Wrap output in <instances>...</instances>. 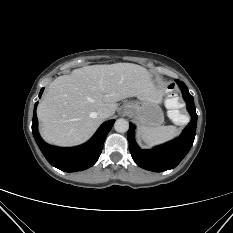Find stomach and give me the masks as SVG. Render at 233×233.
<instances>
[{"label": "stomach", "mask_w": 233, "mask_h": 233, "mask_svg": "<svg viewBox=\"0 0 233 233\" xmlns=\"http://www.w3.org/2000/svg\"><path fill=\"white\" fill-rule=\"evenodd\" d=\"M123 108L141 127H158L164 122L161 108L148 97L137 96L136 100L126 101Z\"/></svg>", "instance_id": "stomach-1"}]
</instances>
